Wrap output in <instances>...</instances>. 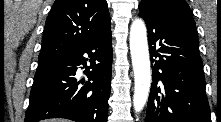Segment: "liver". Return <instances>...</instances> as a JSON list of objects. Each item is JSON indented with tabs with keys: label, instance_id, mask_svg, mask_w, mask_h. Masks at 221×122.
Segmentation results:
<instances>
[{
	"label": "liver",
	"instance_id": "6515ba94",
	"mask_svg": "<svg viewBox=\"0 0 221 122\" xmlns=\"http://www.w3.org/2000/svg\"><path fill=\"white\" fill-rule=\"evenodd\" d=\"M49 122H64L62 119H52Z\"/></svg>",
	"mask_w": 221,
	"mask_h": 122
}]
</instances>
